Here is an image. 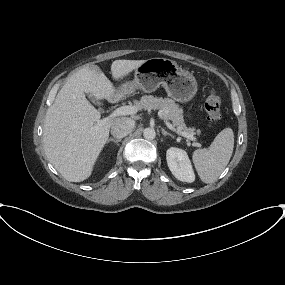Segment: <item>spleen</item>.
I'll return each mask as SVG.
<instances>
[{"mask_svg": "<svg viewBox=\"0 0 285 285\" xmlns=\"http://www.w3.org/2000/svg\"><path fill=\"white\" fill-rule=\"evenodd\" d=\"M234 148V133L231 128H224L215 137L208 149H197L192 160L195 169L204 183H212L228 165Z\"/></svg>", "mask_w": 285, "mask_h": 285, "instance_id": "obj_1", "label": "spleen"}]
</instances>
